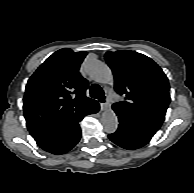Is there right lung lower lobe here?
Segmentation results:
<instances>
[{"instance_id": "1", "label": "right lung lower lobe", "mask_w": 194, "mask_h": 193, "mask_svg": "<svg viewBox=\"0 0 194 193\" xmlns=\"http://www.w3.org/2000/svg\"><path fill=\"white\" fill-rule=\"evenodd\" d=\"M99 110L98 102L84 109L80 113L66 118L56 124L35 129L30 134L39 147L53 154H63L71 150L80 140L81 129L79 122L89 114Z\"/></svg>"}]
</instances>
